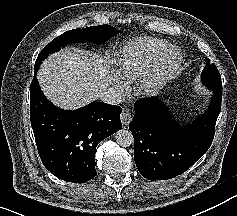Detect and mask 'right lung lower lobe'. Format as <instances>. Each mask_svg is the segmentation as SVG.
<instances>
[{"label": "right lung lower lobe", "instance_id": "1", "mask_svg": "<svg viewBox=\"0 0 237 216\" xmlns=\"http://www.w3.org/2000/svg\"><path fill=\"white\" fill-rule=\"evenodd\" d=\"M30 86V119L38 153L56 177L85 183L96 175L95 150L121 129V107L94 101L74 110L55 107L43 95L36 77Z\"/></svg>", "mask_w": 237, "mask_h": 216}]
</instances>
